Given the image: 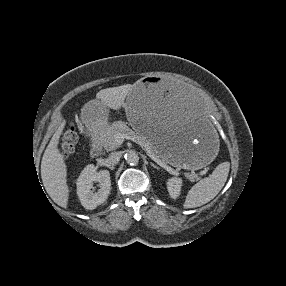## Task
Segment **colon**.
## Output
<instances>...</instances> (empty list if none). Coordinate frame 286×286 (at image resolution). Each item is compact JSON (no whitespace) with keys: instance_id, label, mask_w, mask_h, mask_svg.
I'll return each instance as SVG.
<instances>
[{"instance_id":"obj_1","label":"colon","mask_w":286,"mask_h":286,"mask_svg":"<svg viewBox=\"0 0 286 286\" xmlns=\"http://www.w3.org/2000/svg\"><path fill=\"white\" fill-rule=\"evenodd\" d=\"M78 142V135L74 127H68L61 136L60 150L63 154H71Z\"/></svg>"}]
</instances>
